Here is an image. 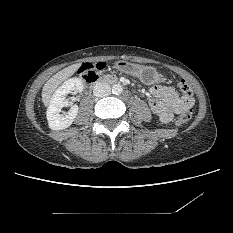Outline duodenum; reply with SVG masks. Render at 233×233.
<instances>
[{"label": "duodenum", "instance_id": "410a0bca", "mask_svg": "<svg viewBox=\"0 0 233 233\" xmlns=\"http://www.w3.org/2000/svg\"><path fill=\"white\" fill-rule=\"evenodd\" d=\"M83 81L89 86V88L93 87L95 84L99 82H106L110 84H117L119 83V79L112 76L100 77L98 74L95 75H85Z\"/></svg>", "mask_w": 233, "mask_h": 233}]
</instances>
